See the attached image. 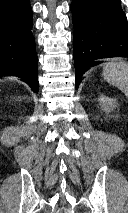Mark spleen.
Here are the masks:
<instances>
[{
	"label": "spleen",
	"instance_id": "1",
	"mask_svg": "<svg viewBox=\"0 0 128 213\" xmlns=\"http://www.w3.org/2000/svg\"><path fill=\"white\" fill-rule=\"evenodd\" d=\"M102 75L108 83L119 88L128 97V62L111 60L105 64Z\"/></svg>",
	"mask_w": 128,
	"mask_h": 213
}]
</instances>
